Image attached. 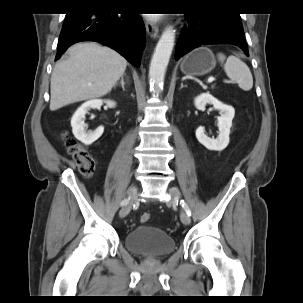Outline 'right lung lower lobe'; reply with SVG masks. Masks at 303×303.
<instances>
[{"mask_svg":"<svg viewBox=\"0 0 303 303\" xmlns=\"http://www.w3.org/2000/svg\"><path fill=\"white\" fill-rule=\"evenodd\" d=\"M81 41H95L111 47L139 67L145 43V27L137 14L120 16L99 9L68 13L60 33L55 60L69 46Z\"/></svg>","mask_w":303,"mask_h":303,"instance_id":"right-lung-lower-lobe-1","label":"right lung lower lobe"}]
</instances>
